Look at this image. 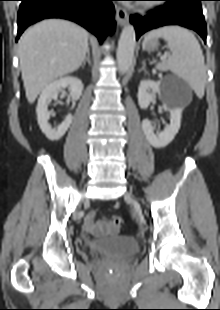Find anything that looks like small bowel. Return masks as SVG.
Listing matches in <instances>:
<instances>
[{"mask_svg":"<svg viewBox=\"0 0 220 310\" xmlns=\"http://www.w3.org/2000/svg\"><path fill=\"white\" fill-rule=\"evenodd\" d=\"M96 214L93 212L87 215L83 220V228L86 232L95 234V235H103L106 233H112V226L109 225L108 221L105 219L96 221Z\"/></svg>","mask_w":220,"mask_h":310,"instance_id":"obj_1","label":"small bowel"}]
</instances>
